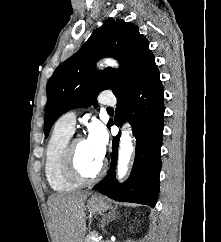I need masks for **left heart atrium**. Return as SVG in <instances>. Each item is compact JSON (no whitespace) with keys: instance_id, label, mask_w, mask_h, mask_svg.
Masks as SVG:
<instances>
[{"instance_id":"obj_1","label":"left heart atrium","mask_w":221,"mask_h":242,"mask_svg":"<svg viewBox=\"0 0 221 242\" xmlns=\"http://www.w3.org/2000/svg\"><path fill=\"white\" fill-rule=\"evenodd\" d=\"M85 142L93 155L102 160L106 153L108 135L101 123L95 121L89 126Z\"/></svg>"}]
</instances>
